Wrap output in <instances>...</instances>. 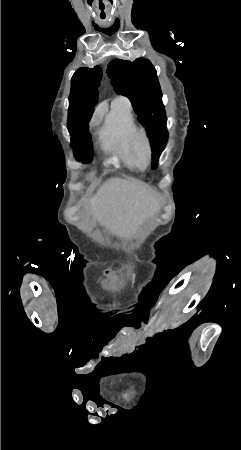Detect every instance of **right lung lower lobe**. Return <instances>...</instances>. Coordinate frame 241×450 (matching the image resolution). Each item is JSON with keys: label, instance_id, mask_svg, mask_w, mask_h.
Segmentation results:
<instances>
[{"label": "right lung lower lobe", "instance_id": "98d812e1", "mask_svg": "<svg viewBox=\"0 0 241 450\" xmlns=\"http://www.w3.org/2000/svg\"><path fill=\"white\" fill-rule=\"evenodd\" d=\"M92 113L85 112L84 114H82L74 126V130L71 135L72 139L76 142L75 152L85 149L91 144L88 132V122L91 118Z\"/></svg>", "mask_w": 241, "mask_h": 450}]
</instances>
